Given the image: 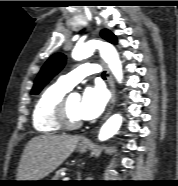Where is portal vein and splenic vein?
<instances>
[{"label": "portal vein and splenic vein", "mask_w": 178, "mask_h": 186, "mask_svg": "<svg viewBox=\"0 0 178 186\" xmlns=\"http://www.w3.org/2000/svg\"><path fill=\"white\" fill-rule=\"evenodd\" d=\"M63 180L64 181H69V177H65Z\"/></svg>", "instance_id": "18ae733b"}]
</instances>
